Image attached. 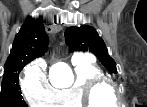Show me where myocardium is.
Here are the masks:
<instances>
[{
	"mask_svg": "<svg viewBox=\"0 0 147 107\" xmlns=\"http://www.w3.org/2000/svg\"><path fill=\"white\" fill-rule=\"evenodd\" d=\"M104 85H108L113 89L115 93L116 103L121 102L120 93L118 91L117 84L112 79L104 75H101V76H96L92 78L84 85L82 89V94H81V98H82L84 107H97L94 104L93 95L99 87L104 86Z\"/></svg>",
	"mask_w": 147,
	"mask_h": 107,
	"instance_id": "f54148a6",
	"label": "myocardium"
}]
</instances>
